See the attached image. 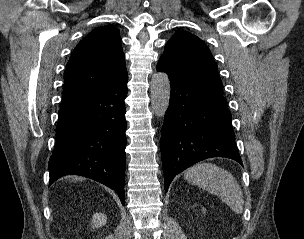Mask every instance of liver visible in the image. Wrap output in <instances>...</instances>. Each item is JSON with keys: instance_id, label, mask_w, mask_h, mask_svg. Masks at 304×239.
<instances>
[{"instance_id": "obj_1", "label": "liver", "mask_w": 304, "mask_h": 239, "mask_svg": "<svg viewBox=\"0 0 304 239\" xmlns=\"http://www.w3.org/2000/svg\"><path fill=\"white\" fill-rule=\"evenodd\" d=\"M72 179L75 180V181H78V180L82 181L83 180V178H80V177H72Z\"/></svg>"}]
</instances>
